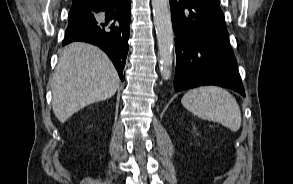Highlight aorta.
Here are the masks:
<instances>
[{"mask_svg": "<svg viewBox=\"0 0 293 184\" xmlns=\"http://www.w3.org/2000/svg\"><path fill=\"white\" fill-rule=\"evenodd\" d=\"M154 24L158 42V58L161 75L169 79L173 63L174 33L169 0H152Z\"/></svg>", "mask_w": 293, "mask_h": 184, "instance_id": "1", "label": "aorta"}]
</instances>
